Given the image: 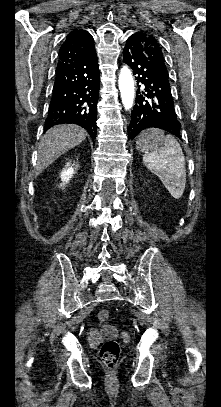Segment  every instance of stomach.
<instances>
[{
  "instance_id": "obj_1",
  "label": "stomach",
  "mask_w": 221,
  "mask_h": 407,
  "mask_svg": "<svg viewBox=\"0 0 221 407\" xmlns=\"http://www.w3.org/2000/svg\"><path fill=\"white\" fill-rule=\"evenodd\" d=\"M163 133L159 130L150 129L141 133L136 141V147L142 152L159 149L162 146Z\"/></svg>"
}]
</instances>
